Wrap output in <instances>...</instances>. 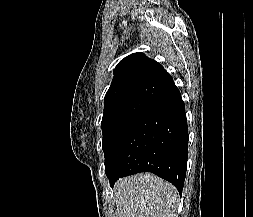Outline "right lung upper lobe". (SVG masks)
<instances>
[{
  "instance_id": "1",
  "label": "right lung upper lobe",
  "mask_w": 253,
  "mask_h": 217,
  "mask_svg": "<svg viewBox=\"0 0 253 217\" xmlns=\"http://www.w3.org/2000/svg\"><path fill=\"white\" fill-rule=\"evenodd\" d=\"M114 72L112 84L105 95V108L127 100L151 102L174 85L163 66L143 53L128 55L119 62Z\"/></svg>"
}]
</instances>
